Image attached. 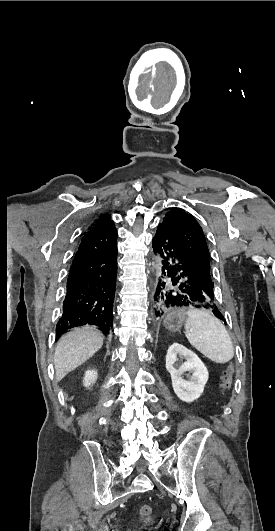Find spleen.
<instances>
[{
    "label": "spleen",
    "instance_id": "spleen-1",
    "mask_svg": "<svg viewBox=\"0 0 275 531\" xmlns=\"http://www.w3.org/2000/svg\"><path fill=\"white\" fill-rule=\"evenodd\" d=\"M185 315V335L197 351L214 363H228L233 359L231 337L220 319L202 309H189Z\"/></svg>",
    "mask_w": 275,
    "mask_h": 531
}]
</instances>
